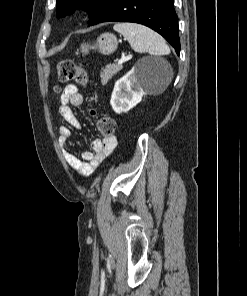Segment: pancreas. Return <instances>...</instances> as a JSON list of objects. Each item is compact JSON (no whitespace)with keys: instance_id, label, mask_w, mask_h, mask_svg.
I'll list each match as a JSON object with an SVG mask.
<instances>
[{"instance_id":"obj_1","label":"pancreas","mask_w":247,"mask_h":296,"mask_svg":"<svg viewBox=\"0 0 247 296\" xmlns=\"http://www.w3.org/2000/svg\"><path fill=\"white\" fill-rule=\"evenodd\" d=\"M122 69L121 65L110 64L102 69L100 73L101 83L105 85L115 74Z\"/></svg>"}]
</instances>
